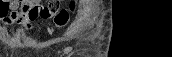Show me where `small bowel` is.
<instances>
[{
	"instance_id": "obj_1",
	"label": "small bowel",
	"mask_w": 172,
	"mask_h": 57,
	"mask_svg": "<svg viewBox=\"0 0 172 57\" xmlns=\"http://www.w3.org/2000/svg\"><path fill=\"white\" fill-rule=\"evenodd\" d=\"M25 3L29 4L31 7H37L38 9L45 7L40 6L38 0H0V24L2 26L18 25L29 28L31 23L37 18L48 19L54 14V12H50L47 15L31 17L28 14L22 13V8Z\"/></svg>"
}]
</instances>
